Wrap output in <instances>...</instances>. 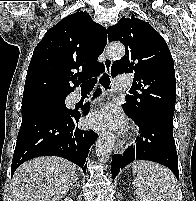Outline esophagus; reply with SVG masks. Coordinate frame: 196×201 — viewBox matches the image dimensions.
Wrapping results in <instances>:
<instances>
[{"label":"esophagus","instance_id":"34e87169","mask_svg":"<svg viewBox=\"0 0 196 201\" xmlns=\"http://www.w3.org/2000/svg\"><path fill=\"white\" fill-rule=\"evenodd\" d=\"M104 65H105V69H106V72L111 75V66H112V59L106 57L105 61H104ZM124 149H125V145H124V142L123 141H118L116 143V146L114 148V152L116 154H122L124 152Z\"/></svg>","mask_w":196,"mask_h":201}]
</instances>
